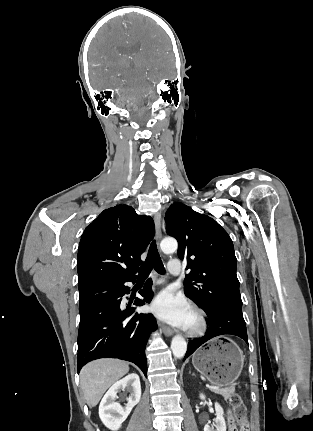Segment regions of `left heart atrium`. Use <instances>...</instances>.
Segmentation results:
<instances>
[{
    "label": "left heart atrium",
    "mask_w": 313,
    "mask_h": 431,
    "mask_svg": "<svg viewBox=\"0 0 313 431\" xmlns=\"http://www.w3.org/2000/svg\"><path fill=\"white\" fill-rule=\"evenodd\" d=\"M151 309L163 321L172 325L187 328L190 325L191 308L187 300L170 290L159 293L154 299Z\"/></svg>",
    "instance_id": "obj_1"
}]
</instances>
